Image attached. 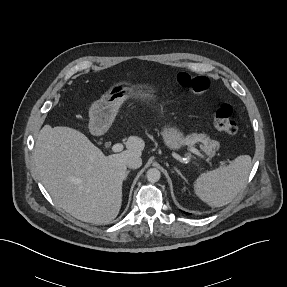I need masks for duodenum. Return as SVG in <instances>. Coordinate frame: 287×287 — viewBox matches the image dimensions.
Returning a JSON list of instances; mask_svg holds the SVG:
<instances>
[{
	"label": "duodenum",
	"instance_id": "duodenum-1",
	"mask_svg": "<svg viewBox=\"0 0 287 287\" xmlns=\"http://www.w3.org/2000/svg\"><path fill=\"white\" fill-rule=\"evenodd\" d=\"M95 129H96V130H101L102 127H100V126H95Z\"/></svg>",
	"mask_w": 287,
	"mask_h": 287
}]
</instances>
